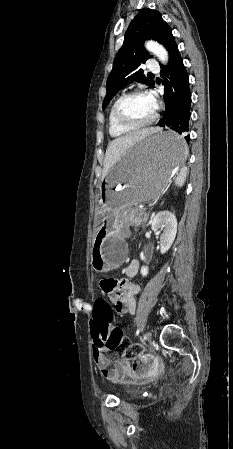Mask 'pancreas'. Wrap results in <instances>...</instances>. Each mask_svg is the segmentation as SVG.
Listing matches in <instances>:
<instances>
[{
    "mask_svg": "<svg viewBox=\"0 0 233 449\" xmlns=\"http://www.w3.org/2000/svg\"><path fill=\"white\" fill-rule=\"evenodd\" d=\"M122 217L126 224L138 227L148 221L149 214L145 211V209L135 207L132 209H127L122 214Z\"/></svg>",
    "mask_w": 233,
    "mask_h": 449,
    "instance_id": "pancreas-1",
    "label": "pancreas"
}]
</instances>
